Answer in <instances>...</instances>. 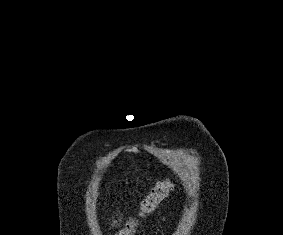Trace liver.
I'll return each instance as SVG.
<instances>
[{"instance_id": "1", "label": "liver", "mask_w": 283, "mask_h": 235, "mask_svg": "<svg viewBox=\"0 0 283 235\" xmlns=\"http://www.w3.org/2000/svg\"><path fill=\"white\" fill-rule=\"evenodd\" d=\"M116 222H117V221H113V225H115V224H116Z\"/></svg>"}]
</instances>
